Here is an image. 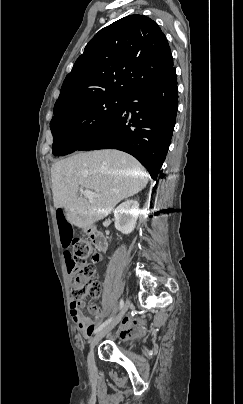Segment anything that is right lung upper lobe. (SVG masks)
Instances as JSON below:
<instances>
[{"instance_id":"right-lung-upper-lobe-1","label":"right lung upper lobe","mask_w":243,"mask_h":404,"mask_svg":"<svg viewBox=\"0 0 243 404\" xmlns=\"http://www.w3.org/2000/svg\"><path fill=\"white\" fill-rule=\"evenodd\" d=\"M173 68L168 41L144 15H129L100 30L66 76L54 116L102 97L125 98Z\"/></svg>"}]
</instances>
